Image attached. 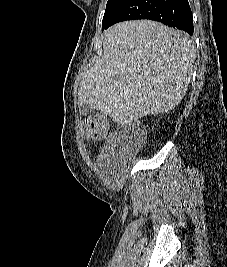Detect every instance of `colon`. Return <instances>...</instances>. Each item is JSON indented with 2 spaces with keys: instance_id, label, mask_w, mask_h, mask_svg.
Segmentation results:
<instances>
[{
  "instance_id": "obj_1",
  "label": "colon",
  "mask_w": 227,
  "mask_h": 267,
  "mask_svg": "<svg viewBox=\"0 0 227 267\" xmlns=\"http://www.w3.org/2000/svg\"><path fill=\"white\" fill-rule=\"evenodd\" d=\"M109 131V121L103 114H93L86 117L82 124V133L90 140H101ZM128 152L138 151L146 141V131L135 125H127L118 136Z\"/></svg>"
}]
</instances>
